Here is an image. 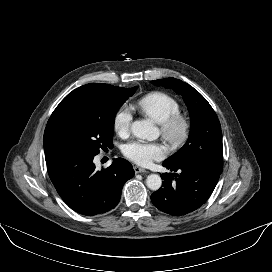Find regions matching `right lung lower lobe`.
Listing matches in <instances>:
<instances>
[{
  "label": "right lung lower lobe",
  "instance_id": "obj_1",
  "mask_svg": "<svg viewBox=\"0 0 272 272\" xmlns=\"http://www.w3.org/2000/svg\"><path fill=\"white\" fill-rule=\"evenodd\" d=\"M95 155H72L47 163L49 177L63 201L82 215L105 213L119 203L124 183L134 176L132 165L117 158L97 171Z\"/></svg>",
  "mask_w": 272,
  "mask_h": 272
}]
</instances>
